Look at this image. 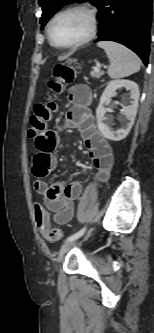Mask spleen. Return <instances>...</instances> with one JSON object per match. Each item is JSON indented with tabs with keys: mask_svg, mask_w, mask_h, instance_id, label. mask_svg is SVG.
<instances>
[{
	"mask_svg": "<svg viewBox=\"0 0 154 333\" xmlns=\"http://www.w3.org/2000/svg\"><path fill=\"white\" fill-rule=\"evenodd\" d=\"M97 46L105 50L110 61V78L128 77L140 70L141 60L125 46L112 41H100Z\"/></svg>",
	"mask_w": 154,
	"mask_h": 333,
	"instance_id": "spleen-1",
	"label": "spleen"
}]
</instances>
